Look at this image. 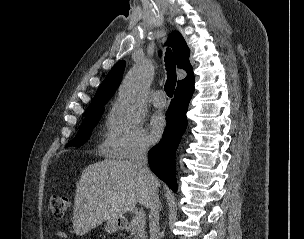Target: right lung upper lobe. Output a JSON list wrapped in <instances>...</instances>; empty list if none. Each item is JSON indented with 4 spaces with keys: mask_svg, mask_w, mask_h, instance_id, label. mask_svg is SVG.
I'll use <instances>...</instances> for the list:
<instances>
[{
    "mask_svg": "<svg viewBox=\"0 0 304 239\" xmlns=\"http://www.w3.org/2000/svg\"><path fill=\"white\" fill-rule=\"evenodd\" d=\"M167 44L173 49L175 60L178 68H182L187 72V77L178 81V85L193 76L192 67L189 62V48L182 35L178 32H172L168 37ZM125 67V61H119L108 73L105 80L98 88L91 104L87 109L104 106L108 100L114 95L119 86L122 73Z\"/></svg>",
    "mask_w": 304,
    "mask_h": 239,
    "instance_id": "right-lung-upper-lobe-1",
    "label": "right lung upper lobe"
}]
</instances>
